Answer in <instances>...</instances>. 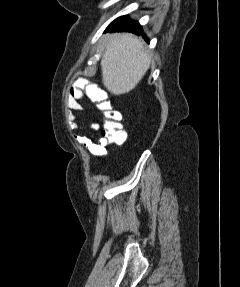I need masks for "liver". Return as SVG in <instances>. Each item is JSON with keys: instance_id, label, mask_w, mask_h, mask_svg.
Returning a JSON list of instances; mask_svg holds the SVG:
<instances>
[{"instance_id": "6515ba94", "label": "liver", "mask_w": 240, "mask_h": 287, "mask_svg": "<svg viewBox=\"0 0 240 287\" xmlns=\"http://www.w3.org/2000/svg\"><path fill=\"white\" fill-rule=\"evenodd\" d=\"M151 60L152 55L132 34L109 36L100 62L104 86L114 95L130 92L144 77Z\"/></svg>"}]
</instances>
